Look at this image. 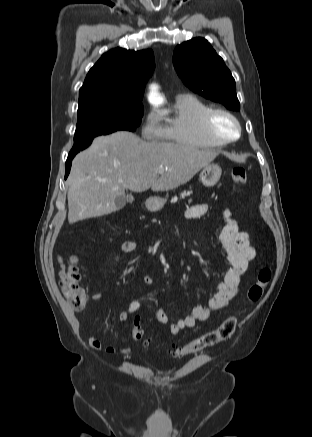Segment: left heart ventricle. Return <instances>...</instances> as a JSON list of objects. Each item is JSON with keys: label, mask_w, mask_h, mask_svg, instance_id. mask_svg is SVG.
<instances>
[{"label": "left heart ventricle", "mask_w": 312, "mask_h": 437, "mask_svg": "<svg viewBox=\"0 0 312 437\" xmlns=\"http://www.w3.org/2000/svg\"><path fill=\"white\" fill-rule=\"evenodd\" d=\"M214 131L224 138H231L236 135V126L227 116L217 115L213 121Z\"/></svg>", "instance_id": "left-heart-ventricle-1"}]
</instances>
